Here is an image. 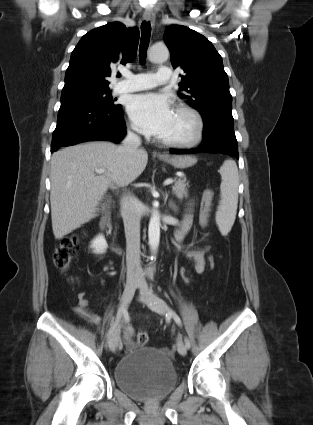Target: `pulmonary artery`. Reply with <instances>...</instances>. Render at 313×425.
<instances>
[{
  "instance_id": "obj_1",
  "label": "pulmonary artery",
  "mask_w": 313,
  "mask_h": 425,
  "mask_svg": "<svg viewBox=\"0 0 313 425\" xmlns=\"http://www.w3.org/2000/svg\"><path fill=\"white\" fill-rule=\"evenodd\" d=\"M172 71L168 67H160L156 74L153 73H127L126 80L114 85V93L135 92L153 88L171 81Z\"/></svg>"
}]
</instances>
